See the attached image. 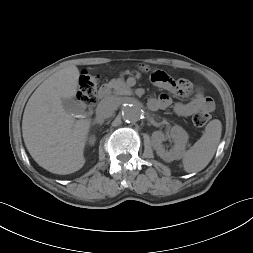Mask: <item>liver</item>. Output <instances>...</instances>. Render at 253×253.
<instances>
[{"label":"liver","mask_w":253,"mask_h":253,"mask_svg":"<svg viewBox=\"0 0 253 253\" xmlns=\"http://www.w3.org/2000/svg\"><path fill=\"white\" fill-rule=\"evenodd\" d=\"M79 70L64 67L43 81L29 98L22 120L24 143L39 166L66 175L85 164L84 148L90 119L75 120L62 105V98L77 94Z\"/></svg>","instance_id":"1"}]
</instances>
